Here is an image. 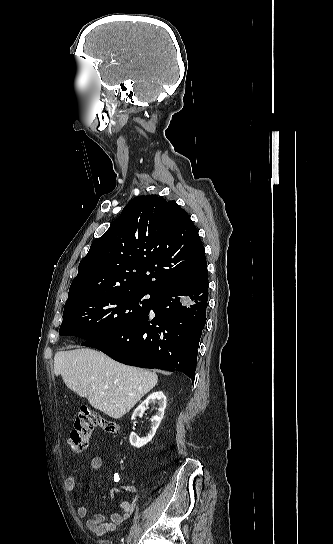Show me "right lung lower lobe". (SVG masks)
<instances>
[{
    "mask_svg": "<svg viewBox=\"0 0 333 544\" xmlns=\"http://www.w3.org/2000/svg\"><path fill=\"white\" fill-rule=\"evenodd\" d=\"M154 295L151 308L134 324L82 345L97 348L126 365L181 371L194 380L197 349L206 322L207 270L192 281Z\"/></svg>",
    "mask_w": 333,
    "mask_h": 544,
    "instance_id": "right-lung-lower-lobe-1",
    "label": "right lung lower lobe"
}]
</instances>
